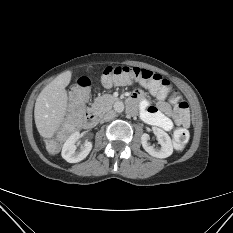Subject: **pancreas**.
Listing matches in <instances>:
<instances>
[{
	"label": "pancreas",
	"mask_w": 233,
	"mask_h": 233,
	"mask_svg": "<svg viewBox=\"0 0 233 233\" xmlns=\"http://www.w3.org/2000/svg\"><path fill=\"white\" fill-rule=\"evenodd\" d=\"M117 100L111 94H104L95 98L91 105L90 112L96 116H102L106 111L112 108V105Z\"/></svg>",
	"instance_id": "obj_1"
}]
</instances>
